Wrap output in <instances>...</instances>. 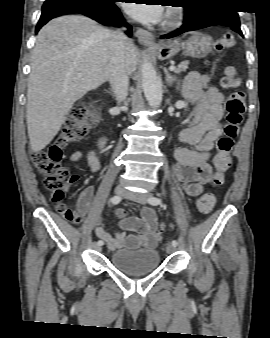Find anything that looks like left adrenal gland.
Masks as SVG:
<instances>
[{"label":"left adrenal gland","mask_w":270,"mask_h":338,"mask_svg":"<svg viewBox=\"0 0 270 338\" xmlns=\"http://www.w3.org/2000/svg\"><path fill=\"white\" fill-rule=\"evenodd\" d=\"M164 73H165L166 83L168 85H172L173 83H176V90H178L180 86L179 79L175 75H171L166 68H164Z\"/></svg>","instance_id":"left-adrenal-gland-1"}]
</instances>
